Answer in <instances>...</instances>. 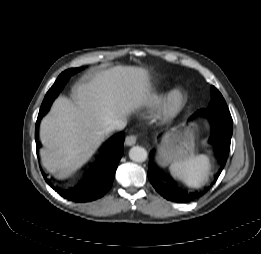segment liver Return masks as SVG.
I'll use <instances>...</instances> for the list:
<instances>
[{
    "instance_id": "obj_1",
    "label": "liver",
    "mask_w": 261,
    "mask_h": 254,
    "mask_svg": "<svg viewBox=\"0 0 261 254\" xmlns=\"http://www.w3.org/2000/svg\"><path fill=\"white\" fill-rule=\"evenodd\" d=\"M148 71L117 66L76 84L73 99L59 97L42 120L40 151L43 167L58 178L70 175L93 155L108 134V126L148 104Z\"/></svg>"
}]
</instances>
